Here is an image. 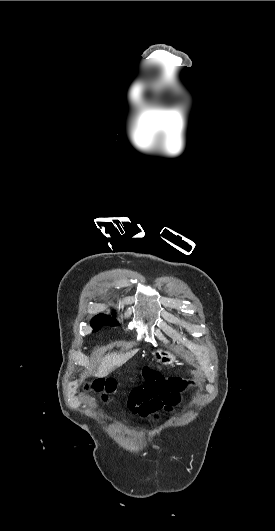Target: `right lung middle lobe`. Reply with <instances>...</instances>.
<instances>
[{
    "label": "right lung middle lobe",
    "instance_id": "dd1d6c3e",
    "mask_svg": "<svg viewBox=\"0 0 275 531\" xmlns=\"http://www.w3.org/2000/svg\"><path fill=\"white\" fill-rule=\"evenodd\" d=\"M118 321L106 314H98L91 320L93 331H98L102 326H117Z\"/></svg>",
    "mask_w": 275,
    "mask_h": 531
}]
</instances>
